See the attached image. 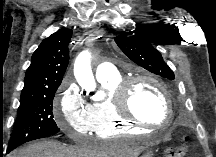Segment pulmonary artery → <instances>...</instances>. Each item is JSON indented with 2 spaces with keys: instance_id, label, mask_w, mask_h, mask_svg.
I'll list each match as a JSON object with an SVG mask.
<instances>
[{
  "instance_id": "1",
  "label": "pulmonary artery",
  "mask_w": 216,
  "mask_h": 157,
  "mask_svg": "<svg viewBox=\"0 0 216 157\" xmlns=\"http://www.w3.org/2000/svg\"><path fill=\"white\" fill-rule=\"evenodd\" d=\"M117 69L114 64L103 62L96 67V78L100 81L115 76Z\"/></svg>"
}]
</instances>
